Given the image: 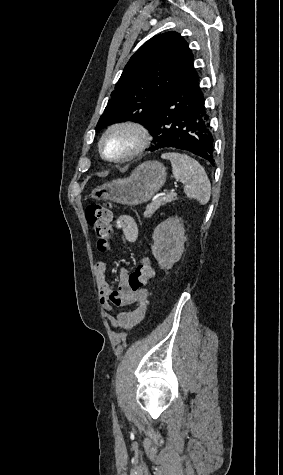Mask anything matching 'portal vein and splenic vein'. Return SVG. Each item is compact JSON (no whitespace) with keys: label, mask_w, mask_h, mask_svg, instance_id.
<instances>
[{"label":"portal vein and splenic vein","mask_w":283,"mask_h":475,"mask_svg":"<svg viewBox=\"0 0 283 475\" xmlns=\"http://www.w3.org/2000/svg\"><path fill=\"white\" fill-rule=\"evenodd\" d=\"M169 193H170V195H172V196H175V195H176L177 197L179 196V195H178L179 192H178L177 190H175V189L170 190Z\"/></svg>","instance_id":"1"}]
</instances>
